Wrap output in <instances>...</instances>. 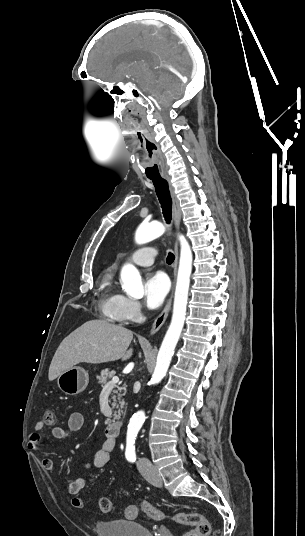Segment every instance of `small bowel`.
Here are the masks:
<instances>
[{"label": "small bowel", "mask_w": 305, "mask_h": 536, "mask_svg": "<svg viewBox=\"0 0 305 536\" xmlns=\"http://www.w3.org/2000/svg\"><path fill=\"white\" fill-rule=\"evenodd\" d=\"M84 416L80 412H73L70 414L66 427H52V436L60 441H64L69 438L72 432L79 431L84 425ZM45 427H33V432L30 434L29 447L33 451H37L40 448L41 434ZM115 448V441L112 439H105L100 449L95 453L91 461L82 462V467L87 470L99 469L106 466L110 460V454ZM42 467L52 472L55 468L53 460L50 458H43L41 461ZM86 485L84 478H78L66 487L65 491L70 495H77Z\"/></svg>", "instance_id": "1"}]
</instances>
